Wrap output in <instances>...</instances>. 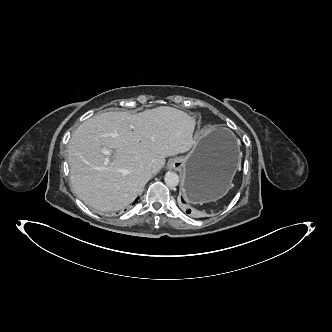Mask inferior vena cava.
Instances as JSON below:
<instances>
[{
    "instance_id": "602c4592",
    "label": "inferior vena cava",
    "mask_w": 332,
    "mask_h": 332,
    "mask_svg": "<svg viewBox=\"0 0 332 332\" xmlns=\"http://www.w3.org/2000/svg\"><path fill=\"white\" fill-rule=\"evenodd\" d=\"M146 169L148 170V171H152L153 170V165L150 163V164H148L147 166H146Z\"/></svg>"
}]
</instances>
